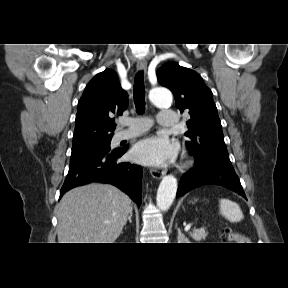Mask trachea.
I'll use <instances>...</instances> for the list:
<instances>
[{"label":"trachea","instance_id":"trachea-1","mask_svg":"<svg viewBox=\"0 0 288 288\" xmlns=\"http://www.w3.org/2000/svg\"><path fill=\"white\" fill-rule=\"evenodd\" d=\"M134 103L138 114H142L145 110V86L143 79V71L136 74L134 80Z\"/></svg>","mask_w":288,"mask_h":288}]
</instances>
